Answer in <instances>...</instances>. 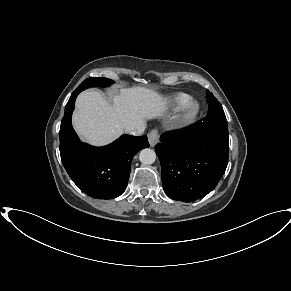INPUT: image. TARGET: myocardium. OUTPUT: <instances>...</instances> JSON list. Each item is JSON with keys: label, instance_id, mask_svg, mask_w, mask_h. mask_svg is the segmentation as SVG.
<instances>
[{"label": "myocardium", "instance_id": "1", "mask_svg": "<svg viewBox=\"0 0 291 291\" xmlns=\"http://www.w3.org/2000/svg\"><path fill=\"white\" fill-rule=\"evenodd\" d=\"M201 110V105L197 100H191L186 106L183 114V122L188 124L193 122Z\"/></svg>", "mask_w": 291, "mask_h": 291}]
</instances>
